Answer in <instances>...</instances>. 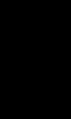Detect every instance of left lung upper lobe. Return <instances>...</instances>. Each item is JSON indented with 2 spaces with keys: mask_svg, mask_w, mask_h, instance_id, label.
I'll list each match as a JSON object with an SVG mask.
<instances>
[{
  "mask_svg": "<svg viewBox=\"0 0 71 119\" xmlns=\"http://www.w3.org/2000/svg\"><path fill=\"white\" fill-rule=\"evenodd\" d=\"M42 3L51 8L63 25L66 20H70L71 0H43Z\"/></svg>",
  "mask_w": 71,
  "mask_h": 119,
  "instance_id": "obj_1",
  "label": "left lung upper lobe"
}]
</instances>
